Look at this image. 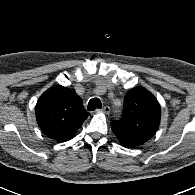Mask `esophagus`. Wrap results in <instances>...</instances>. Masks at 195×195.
I'll return each instance as SVG.
<instances>
[{
    "label": "esophagus",
    "instance_id": "obj_1",
    "mask_svg": "<svg viewBox=\"0 0 195 195\" xmlns=\"http://www.w3.org/2000/svg\"><path fill=\"white\" fill-rule=\"evenodd\" d=\"M99 111H102L105 114H109L111 111V108L109 106H104L102 109H99Z\"/></svg>",
    "mask_w": 195,
    "mask_h": 195
}]
</instances>
